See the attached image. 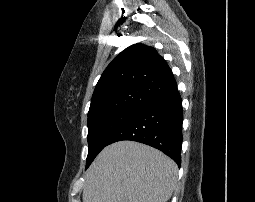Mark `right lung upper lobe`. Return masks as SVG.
Masks as SVG:
<instances>
[{"mask_svg":"<svg viewBox=\"0 0 255 202\" xmlns=\"http://www.w3.org/2000/svg\"><path fill=\"white\" fill-rule=\"evenodd\" d=\"M171 69L157 51L135 44L122 51L101 75L88 116L113 109H137L174 92Z\"/></svg>","mask_w":255,"mask_h":202,"instance_id":"obj_1","label":"right lung upper lobe"}]
</instances>
